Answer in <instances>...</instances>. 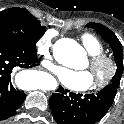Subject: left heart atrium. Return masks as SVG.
<instances>
[{
	"instance_id": "1",
	"label": "left heart atrium",
	"mask_w": 124,
	"mask_h": 124,
	"mask_svg": "<svg viewBox=\"0 0 124 124\" xmlns=\"http://www.w3.org/2000/svg\"><path fill=\"white\" fill-rule=\"evenodd\" d=\"M57 77L65 87L77 91L90 88L94 81L92 73L88 70L58 69Z\"/></svg>"
}]
</instances>
